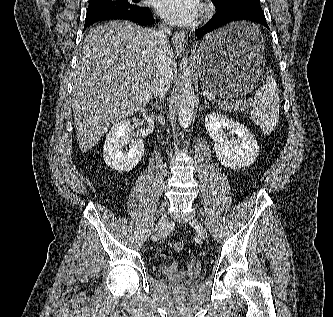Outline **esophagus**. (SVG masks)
I'll return each mask as SVG.
<instances>
[{
	"mask_svg": "<svg viewBox=\"0 0 333 317\" xmlns=\"http://www.w3.org/2000/svg\"><path fill=\"white\" fill-rule=\"evenodd\" d=\"M172 41L177 55H181V53L184 51V44H185L184 34L176 32L173 35Z\"/></svg>",
	"mask_w": 333,
	"mask_h": 317,
	"instance_id": "1",
	"label": "esophagus"
}]
</instances>
